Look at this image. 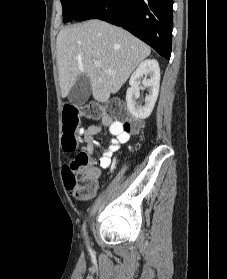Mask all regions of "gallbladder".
<instances>
[{
	"instance_id": "1",
	"label": "gallbladder",
	"mask_w": 227,
	"mask_h": 279,
	"mask_svg": "<svg viewBox=\"0 0 227 279\" xmlns=\"http://www.w3.org/2000/svg\"><path fill=\"white\" fill-rule=\"evenodd\" d=\"M91 88L90 79L87 75L81 74L68 94V102L73 106H82L88 100Z\"/></svg>"
}]
</instances>
